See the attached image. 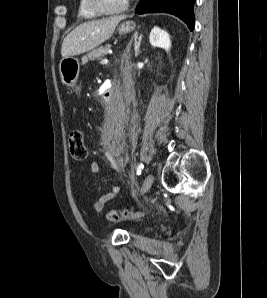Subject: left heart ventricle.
<instances>
[{
  "mask_svg": "<svg viewBox=\"0 0 267 298\" xmlns=\"http://www.w3.org/2000/svg\"><path fill=\"white\" fill-rule=\"evenodd\" d=\"M107 10H116L120 8L126 0H100Z\"/></svg>",
  "mask_w": 267,
  "mask_h": 298,
  "instance_id": "1",
  "label": "left heart ventricle"
}]
</instances>
